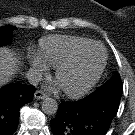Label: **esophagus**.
Segmentation results:
<instances>
[{
  "label": "esophagus",
  "instance_id": "obj_1",
  "mask_svg": "<svg viewBox=\"0 0 135 135\" xmlns=\"http://www.w3.org/2000/svg\"><path fill=\"white\" fill-rule=\"evenodd\" d=\"M47 93L41 90H37L34 94L35 99H45L47 97Z\"/></svg>",
  "mask_w": 135,
  "mask_h": 135
}]
</instances>
